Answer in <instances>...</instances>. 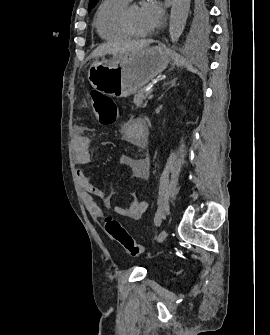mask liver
Listing matches in <instances>:
<instances>
[{
  "mask_svg": "<svg viewBox=\"0 0 270 335\" xmlns=\"http://www.w3.org/2000/svg\"><path fill=\"white\" fill-rule=\"evenodd\" d=\"M151 40H139V42H125L121 44L119 48L117 46H111V44H101L98 46L94 52H92V58H99V56H106L109 52H114V54H129V52H140L144 50L146 46H149Z\"/></svg>",
  "mask_w": 270,
  "mask_h": 335,
  "instance_id": "6515ba94",
  "label": "liver"
}]
</instances>
